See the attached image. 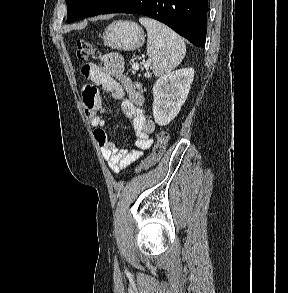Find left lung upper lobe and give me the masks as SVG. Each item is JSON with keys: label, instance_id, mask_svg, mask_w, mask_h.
I'll return each mask as SVG.
<instances>
[{"label": "left lung upper lobe", "instance_id": "5c2ea615", "mask_svg": "<svg viewBox=\"0 0 288 293\" xmlns=\"http://www.w3.org/2000/svg\"><path fill=\"white\" fill-rule=\"evenodd\" d=\"M118 0H66L67 22L101 14Z\"/></svg>", "mask_w": 288, "mask_h": 293}]
</instances>
